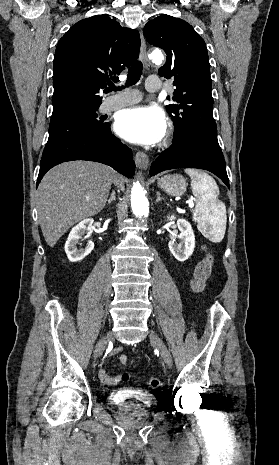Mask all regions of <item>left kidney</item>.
<instances>
[{
    "instance_id": "5707ae66",
    "label": "left kidney",
    "mask_w": 279,
    "mask_h": 465,
    "mask_svg": "<svg viewBox=\"0 0 279 465\" xmlns=\"http://www.w3.org/2000/svg\"><path fill=\"white\" fill-rule=\"evenodd\" d=\"M174 216H168V220L173 221ZM177 227L180 230L178 239L180 242L177 244L173 239L168 243L171 254L180 262L186 261L193 253L195 248V235L191 224L185 219H177Z\"/></svg>"
}]
</instances>
